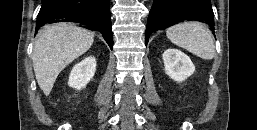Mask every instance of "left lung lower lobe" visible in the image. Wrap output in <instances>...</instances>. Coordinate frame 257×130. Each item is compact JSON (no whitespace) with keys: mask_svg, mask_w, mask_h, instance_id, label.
<instances>
[{"mask_svg":"<svg viewBox=\"0 0 257 130\" xmlns=\"http://www.w3.org/2000/svg\"><path fill=\"white\" fill-rule=\"evenodd\" d=\"M192 20L208 23L214 32V13L210 0H154L148 16L145 44L152 32Z\"/></svg>","mask_w":257,"mask_h":130,"instance_id":"1","label":"left lung lower lobe"}]
</instances>
